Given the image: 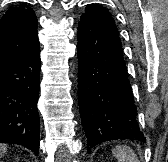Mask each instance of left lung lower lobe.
<instances>
[{
	"mask_svg": "<svg viewBox=\"0 0 168 162\" xmlns=\"http://www.w3.org/2000/svg\"><path fill=\"white\" fill-rule=\"evenodd\" d=\"M77 49L79 108L88 152L110 140L145 142L118 33L81 16Z\"/></svg>",
	"mask_w": 168,
	"mask_h": 162,
	"instance_id": "1",
	"label": "left lung lower lobe"
}]
</instances>
